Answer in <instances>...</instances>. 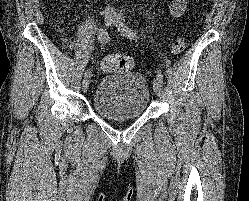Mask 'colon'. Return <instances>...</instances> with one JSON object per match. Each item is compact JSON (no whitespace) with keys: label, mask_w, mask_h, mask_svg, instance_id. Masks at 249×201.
Segmentation results:
<instances>
[{"label":"colon","mask_w":249,"mask_h":201,"mask_svg":"<svg viewBox=\"0 0 249 201\" xmlns=\"http://www.w3.org/2000/svg\"><path fill=\"white\" fill-rule=\"evenodd\" d=\"M189 20V17L187 18ZM186 39L184 37H178L172 45V53L180 54L186 48ZM133 66V62L130 57L120 55V54H111L104 58L102 62V67L105 70L116 71V72H127Z\"/></svg>","instance_id":"1"}]
</instances>
